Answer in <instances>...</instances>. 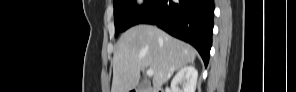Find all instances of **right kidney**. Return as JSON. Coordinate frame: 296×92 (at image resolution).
<instances>
[{
  "mask_svg": "<svg viewBox=\"0 0 296 92\" xmlns=\"http://www.w3.org/2000/svg\"><path fill=\"white\" fill-rule=\"evenodd\" d=\"M198 71L193 65L180 69L171 82L172 92H195ZM183 85L182 89L179 85Z\"/></svg>",
  "mask_w": 296,
  "mask_h": 92,
  "instance_id": "right-kidney-1",
  "label": "right kidney"
}]
</instances>
